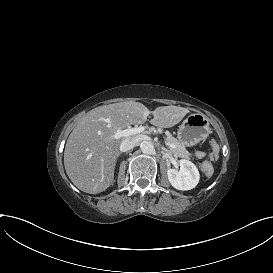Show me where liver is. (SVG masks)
Masks as SVG:
<instances>
[{
    "label": "liver",
    "mask_w": 273,
    "mask_h": 273,
    "mask_svg": "<svg viewBox=\"0 0 273 273\" xmlns=\"http://www.w3.org/2000/svg\"><path fill=\"white\" fill-rule=\"evenodd\" d=\"M151 112L139 102L125 101L96 107L78 122L66 143L64 166L73 184L83 192L96 194L112 183L119 147L128 137L115 139L117 130L143 124ZM189 113L187 108L162 106L152 114L151 124L169 128Z\"/></svg>",
    "instance_id": "liver-1"
}]
</instances>
